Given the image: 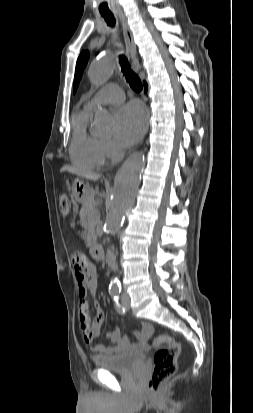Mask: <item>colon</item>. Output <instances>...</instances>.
<instances>
[{
  "label": "colon",
  "mask_w": 253,
  "mask_h": 413,
  "mask_svg": "<svg viewBox=\"0 0 253 413\" xmlns=\"http://www.w3.org/2000/svg\"><path fill=\"white\" fill-rule=\"evenodd\" d=\"M59 208L63 216L70 213L71 203L65 193L59 197ZM153 345L157 347V351L154 355V365L147 383V391L155 395L161 385L175 373L181 347L178 340L167 334L155 336Z\"/></svg>",
  "instance_id": "1"
}]
</instances>
